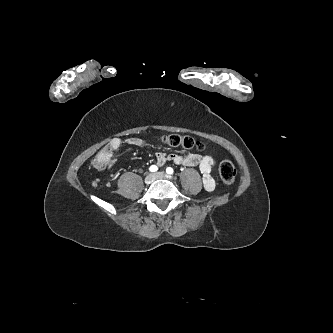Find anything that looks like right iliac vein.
<instances>
[{"mask_svg":"<svg viewBox=\"0 0 333 333\" xmlns=\"http://www.w3.org/2000/svg\"><path fill=\"white\" fill-rule=\"evenodd\" d=\"M155 180L154 174L150 173L145 177V183L151 184Z\"/></svg>","mask_w":333,"mask_h":333,"instance_id":"obj_1","label":"right iliac vein"}]
</instances>
